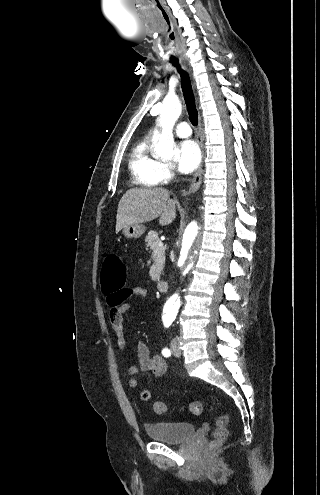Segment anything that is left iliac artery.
<instances>
[{
  "instance_id": "obj_1",
  "label": "left iliac artery",
  "mask_w": 320,
  "mask_h": 495,
  "mask_svg": "<svg viewBox=\"0 0 320 495\" xmlns=\"http://www.w3.org/2000/svg\"><path fill=\"white\" fill-rule=\"evenodd\" d=\"M171 323H172V320H171V319H165V320H164V326H165L166 328H169V326L171 325ZM162 354H163L165 357H169V356L171 355L170 350H169L168 348H164V349L162 350Z\"/></svg>"
}]
</instances>
